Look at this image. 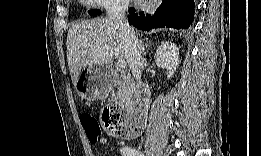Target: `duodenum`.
I'll use <instances>...</instances> for the list:
<instances>
[{
  "label": "duodenum",
  "instance_id": "obj_1",
  "mask_svg": "<svg viewBox=\"0 0 261 156\" xmlns=\"http://www.w3.org/2000/svg\"><path fill=\"white\" fill-rule=\"evenodd\" d=\"M116 76L123 81L129 79L127 73L122 71H117ZM116 104L126 112H130L138 125H144L149 104L148 92L144 86L137 92L135 99L122 98Z\"/></svg>",
  "mask_w": 261,
  "mask_h": 156
}]
</instances>
